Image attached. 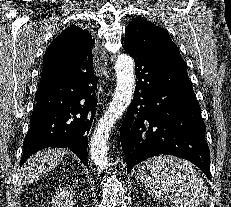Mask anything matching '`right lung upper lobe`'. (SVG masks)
<instances>
[{"instance_id": "cb5924a9", "label": "right lung upper lobe", "mask_w": 231, "mask_h": 207, "mask_svg": "<svg viewBox=\"0 0 231 207\" xmlns=\"http://www.w3.org/2000/svg\"><path fill=\"white\" fill-rule=\"evenodd\" d=\"M93 45L94 40L88 31L71 26L52 41L43 56V66H59L66 71L82 68L76 64L92 57Z\"/></svg>"}]
</instances>
